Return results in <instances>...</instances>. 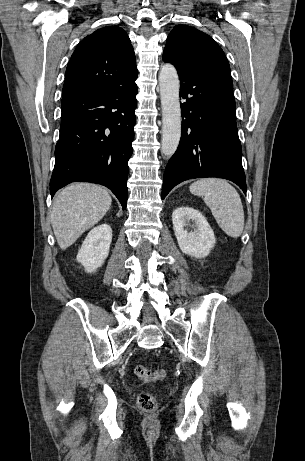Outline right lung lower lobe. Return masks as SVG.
<instances>
[{
	"label": "right lung lower lobe",
	"instance_id": "98d812e1",
	"mask_svg": "<svg viewBox=\"0 0 305 461\" xmlns=\"http://www.w3.org/2000/svg\"><path fill=\"white\" fill-rule=\"evenodd\" d=\"M135 80L62 99L60 137L50 180L52 197L71 182H92L108 187L126 208L128 160L136 123Z\"/></svg>",
	"mask_w": 305,
	"mask_h": 461
}]
</instances>
